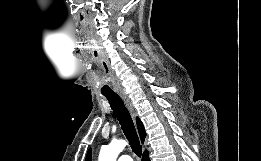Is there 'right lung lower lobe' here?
Wrapping results in <instances>:
<instances>
[{"label": "right lung lower lobe", "mask_w": 261, "mask_h": 161, "mask_svg": "<svg viewBox=\"0 0 261 161\" xmlns=\"http://www.w3.org/2000/svg\"><path fill=\"white\" fill-rule=\"evenodd\" d=\"M142 161H150L148 157V152H144Z\"/></svg>", "instance_id": "98d812e1"}]
</instances>
